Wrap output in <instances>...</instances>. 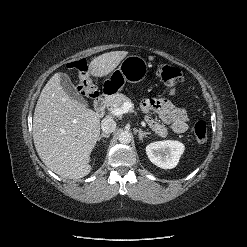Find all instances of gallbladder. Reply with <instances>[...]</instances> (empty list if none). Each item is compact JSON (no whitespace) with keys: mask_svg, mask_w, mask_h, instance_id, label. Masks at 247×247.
I'll return each instance as SVG.
<instances>
[{"mask_svg":"<svg viewBox=\"0 0 247 247\" xmlns=\"http://www.w3.org/2000/svg\"><path fill=\"white\" fill-rule=\"evenodd\" d=\"M59 76H60V86L66 92V94L70 96L71 98L87 106L88 103L83 98H81L80 95L74 89V86L70 80V77L65 73H60Z\"/></svg>","mask_w":247,"mask_h":247,"instance_id":"1","label":"gallbladder"}]
</instances>
